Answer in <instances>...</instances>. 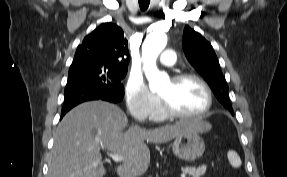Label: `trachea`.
<instances>
[{
  "mask_svg": "<svg viewBox=\"0 0 287 177\" xmlns=\"http://www.w3.org/2000/svg\"><path fill=\"white\" fill-rule=\"evenodd\" d=\"M141 10H146L149 6L150 0H138Z\"/></svg>",
  "mask_w": 287,
  "mask_h": 177,
  "instance_id": "1",
  "label": "trachea"
}]
</instances>
